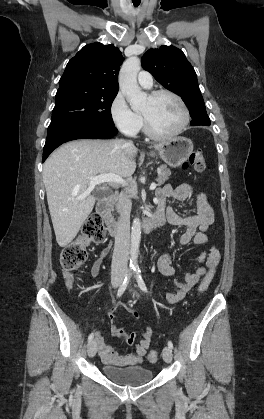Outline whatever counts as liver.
Listing matches in <instances>:
<instances>
[{
  "mask_svg": "<svg viewBox=\"0 0 264 419\" xmlns=\"http://www.w3.org/2000/svg\"><path fill=\"white\" fill-rule=\"evenodd\" d=\"M137 152L133 144L124 140L87 139L63 144L49 156L43 167V182L60 247L73 241L93 210L96 197L89 190V178L108 173L131 177Z\"/></svg>",
  "mask_w": 264,
  "mask_h": 419,
  "instance_id": "liver-1",
  "label": "liver"
}]
</instances>
